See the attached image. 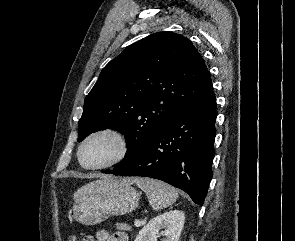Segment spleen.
Returning a JSON list of instances; mask_svg holds the SVG:
<instances>
[{
	"mask_svg": "<svg viewBox=\"0 0 295 241\" xmlns=\"http://www.w3.org/2000/svg\"><path fill=\"white\" fill-rule=\"evenodd\" d=\"M134 182L146 193L154 210L166 208L178 198V191L162 181L150 178H136Z\"/></svg>",
	"mask_w": 295,
	"mask_h": 241,
	"instance_id": "1",
	"label": "spleen"
}]
</instances>
